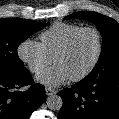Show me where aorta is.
Listing matches in <instances>:
<instances>
[{
	"instance_id": "762f6f07",
	"label": "aorta",
	"mask_w": 119,
	"mask_h": 119,
	"mask_svg": "<svg viewBox=\"0 0 119 119\" xmlns=\"http://www.w3.org/2000/svg\"><path fill=\"white\" fill-rule=\"evenodd\" d=\"M47 107L53 111H59L63 105L62 98L59 95H51L46 100Z\"/></svg>"
}]
</instances>
